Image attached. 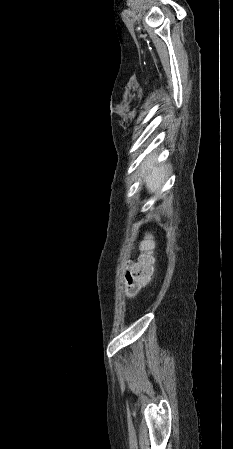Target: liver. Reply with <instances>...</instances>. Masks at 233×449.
<instances>
[{
  "mask_svg": "<svg viewBox=\"0 0 233 449\" xmlns=\"http://www.w3.org/2000/svg\"><path fill=\"white\" fill-rule=\"evenodd\" d=\"M157 159L155 154H152L146 158L142 164V174H146L144 182L146 183L149 192H158L159 189L165 183L169 171V165H159L154 167V163Z\"/></svg>",
  "mask_w": 233,
  "mask_h": 449,
  "instance_id": "liver-1",
  "label": "liver"
}]
</instances>
